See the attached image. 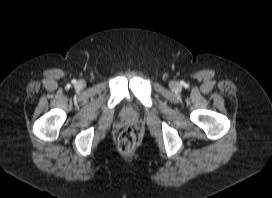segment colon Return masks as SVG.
I'll return each mask as SVG.
<instances>
[{"label":"colon","instance_id":"1","mask_svg":"<svg viewBox=\"0 0 272 198\" xmlns=\"http://www.w3.org/2000/svg\"><path fill=\"white\" fill-rule=\"evenodd\" d=\"M136 144V135L131 127L124 128L118 137V146L124 153H128L133 150Z\"/></svg>","mask_w":272,"mask_h":198}]
</instances>
